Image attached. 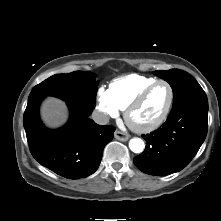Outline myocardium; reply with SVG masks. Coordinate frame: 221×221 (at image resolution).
Returning a JSON list of instances; mask_svg holds the SVG:
<instances>
[{
	"instance_id": "obj_1",
	"label": "myocardium",
	"mask_w": 221,
	"mask_h": 221,
	"mask_svg": "<svg viewBox=\"0 0 221 221\" xmlns=\"http://www.w3.org/2000/svg\"><path fill=\"white\" fill-rule=\"evenodd\" d=\"M160 84H165L169 88V93H170L169 101H168V104H167L163 114L160 116L159 119H157L156 121H154L150 124H146V125L136 124L132 119L133 113L136 111V109H138L142 105V103L148 97L150 92L156 86H158ZM174 100H175V92H174V89H173L172 85L166 80H162V79L156 80L152 84L148 85L145 89H143L132 100V102L127 106V108L125 109V113H124L125 120H126L127 124L129 125V127L132 130H134L135 132H138V133L153 132V131L157 130L158 128H160L166 122V120L168 119V117L171 113L173 104H174Z\"/></svg>"
}]
</instances>
